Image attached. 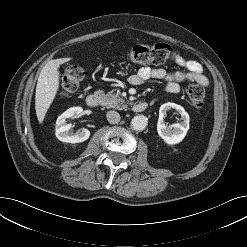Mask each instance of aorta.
Returning a JSON list of instances; mask_svg holds the SVG:
<instances>
[{"instance_id": "aorta-1", "label": "aorta", "mask_w": 247, "mask_h": 247, "mask_svg": "<svg viewBox=\"0 0 247 247\" xmlns=\"http://www.w3.org/2000/svg\"><path fill=\"white\" fill-rule=\"evenodd\" d=\"M148 119L144 115H137L131 120V127L136 131H142L147 126Z\"/></svg>"}]
</instances>
